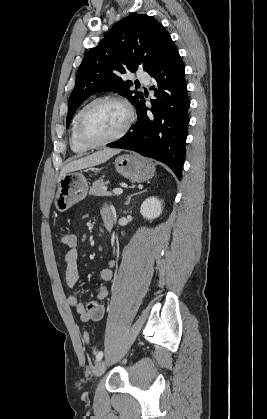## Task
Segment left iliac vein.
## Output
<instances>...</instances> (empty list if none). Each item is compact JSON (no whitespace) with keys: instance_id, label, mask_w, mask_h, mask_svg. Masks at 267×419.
<instances>
[{"instance_id":"left-iliac-vein-1","label":"left iliac vein","mask_w":267,"mask_h":419,"mask_svg":"<svg viewBox=\"0 0 267 419\" xmlns=\"http://www.w3.org/2000/svg\"><path fill=\"white\" fill-rule=\"evenodd\" d=\"M106 369V362L104 360L100 361L95 368L94 374L95 378L98 379L104 373Z\"/></svg>"}]
</instances>
